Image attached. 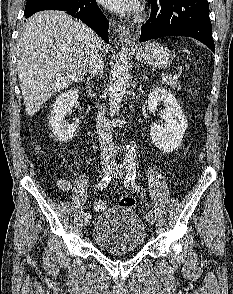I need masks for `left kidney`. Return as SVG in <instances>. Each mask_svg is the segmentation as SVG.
I'll return each instance as SVG.
<instances>
[{"mask_svg":"<svg viewBox=\"0 0 233 294\" xmlns=\"http://www.w3.org/2000/svg\"><path fill=\"white\" fill-rule=\"evenodd\" d=\"M161 103L165 107L160 115L164 123H152L150 139L158 149L170 153L181 145L188 121L175 96L167 89L157 87L148 97L149 113L154 115Z\"/></svg>","mask_w":233,"mask_h":294,"instance_id":"1","label":"left kidney"}]
</instances>
